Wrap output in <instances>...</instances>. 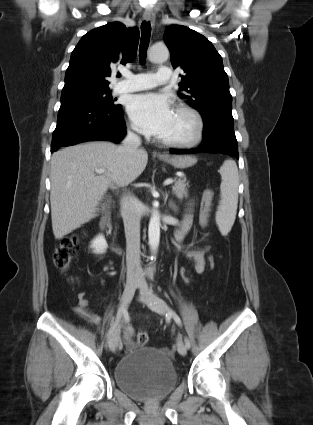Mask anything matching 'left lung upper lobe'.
Segmentation results:
<instances>
[{
    "mask_svg": "<svg viewBox=\"0 0 313 425\" xmlns=\"http://www.w3.org/2000/svg\"><path fill=\"white\" fill-rule=\"evenodd\" d=\"M164 40L170 50L173 67H181L185 73L179 84L183 93L178 95L197 109L203 119L214 115L232 116L228 76L212 43L182 25L169 26Z\"/></svg>",
    "mask_w": 313,
    "mask_h": 425,
    "instance_id": "obj_1",
    "label": "left lung upper lobe"
}]
</instances>
